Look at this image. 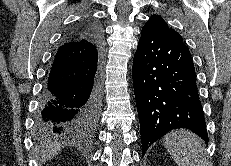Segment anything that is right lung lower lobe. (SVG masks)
Wrapping results in <instances>:
<instances>
[{"label": "right lung lower lobe", "mask_w": 231, "mask_h": 166, "mask_svg": "<svg viewBox=\"0 0 231 166\" xmlns=\"http://www.w3.org/2000/svg\"><path fill=\"white\" fill-rule=\"evenodd\" d=\"M88 40L58 47L48 71L36 117L44 134L80 135L97 123L102 96V31L87 20Z\"/></svg>", "instance_id": "98d812e1"}]
</instances>
